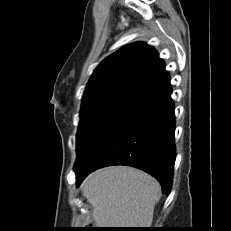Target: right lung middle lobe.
Returning <instances> with one entry per match:
<instances>
[{"label":"right lung middle lobe","mask_w":231,"mask_h":231,"mask_svg":"<svg viewBox=\"0 0 231 231\" xmlns=\"http://www.w3.org/2000/svg\"><path fill=\"white\" fill-rule=\"evenodd\" d=\"M146 104L141 98L116 94L103 96L81 108L74 170H77L112 132Z\"/></svg>","instance_id":"dd1d6c3e"}]
</instances>
